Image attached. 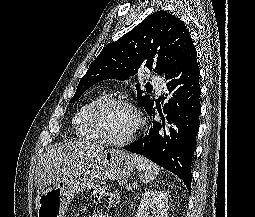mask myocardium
I'll list each match as a JSON object with an SVG mask.
<instances>
[{
  "label": "myocardium",
  "instance_id": "1",
  "mask_svg": "<svg viewBox=\"0 0 255 217\" xmlns=\"http://www.w3.org/2000/svg\"><path fill=\"white\" fill-rule=\"evenodd\" d=\"M115 106H124L129 108L130 110L133 111L135 118H136V123L133 128V130L124 138L122 139H112L109 138L104 131L102 130L101 126V116L102 114L109 108L115 107ZM88 121L90 124V127L94 134L97 136L99 140L102 142L112 145V146H124L129 143H131L136 136L138 135L140 129L142 128L143 125V120L141 117L140 112L136 108V106L131 103L129 100L123 99V98H107L100 103H98L89 113L88 116Z\"/></svg>",
  "mask_w": 255,
  "mask_h": 217
}]
</instances>
